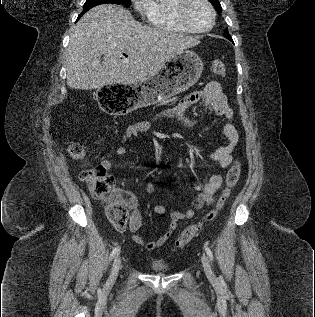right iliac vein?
Listing matches in <instances>:
<instances>
[{"label": "right iliac vein", "instance_id": "right-iliac-vein-1", "mask_svg": "<svg viewBox=\"0 0 315 317\" xmlns=\"http://www.w3.org/2000/svg\"><path fill=\"white\" fill-rule=\"evenodd\" d=\"M120 268H121V258H120V256H117L114 259L113 266H112V269H111V273H110V276H109V279H108V283L111 284V283H113L116 280Z\"/></svg>", "mask_w": 315, "mask_h": 317}]
</instances>
